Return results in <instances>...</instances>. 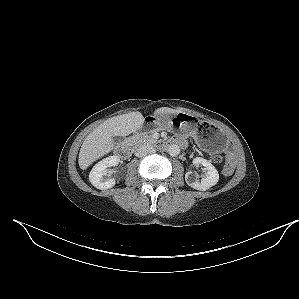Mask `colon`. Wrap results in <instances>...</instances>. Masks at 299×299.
<instances>
[{
	"label": "colon",
	"mask_w": 299,
	"mask_h": 299,
	"mask_svg": "<svg viewBox=\"0 0 299 299\" xmlns=\"http://www.w3.org/2000/svg\"><path fill=\"white\" fill-rule=\"evenodd\" d=\"M213 160L217 163H220L222 161V156L219 155V154H215L213 155ZM233 169H234V163L232 161H229L226 165H225V168H224V173L226 175H229L233 172Z\"/></svg>",
	"instance_id": "5ec220e1"
}]
</instances>
